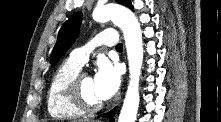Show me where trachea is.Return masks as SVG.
Instances as JSON below:
<instances>
[{
	"label": "trachea",
	"mask_w": 221,
	"mask_h": 122,
	"mask_svg": "<svg viewBox=\"0 0 221 122\" xmlns=\"http://www.w3.org/2000/svg\"><path fill=\"white\" fill-rule=\"evenodd\" d=\"M122 48H123L122 43H119V44L116 46V49H117V50H120V49H122Z\"/></svg>",
	"instance_id": "1"
}]
</instances>
